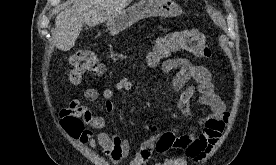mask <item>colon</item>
I'll return each instance as SVG.
<instances>
[{
	"label": "colon",
	"mask_w": 276,
	"mask_h": 165,
	"mask_svg": "<svg viewBox=\"0 0 276 165\" xmlns=\"http://www.w3.org/2000/svg\"><path fill=\"white\" fill-rule=\"evenodd\" d=\"M179 51H187L196 57L208 58L211 54L205 35L196 29H184L171 32L156 39L148 55V63L155 65ZM103 71V64L90 50L79 51L70 58L69 79L78 84L85 74H98ZM69 132L78 137L82 123L77 119H62Z\"/></svg>",
	"instance_id": "5ec220e1"
}]
</instances>
